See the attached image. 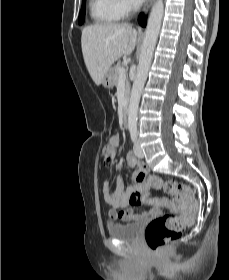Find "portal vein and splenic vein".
<instances>
[{
    "label": "portal vein and splenic vein",
    "mask_w": 229,
    "mask_h": 280,
    "mask_svg": "<svg viewBox=\"0 0 229 280\" xmlns=\"http://www.w3.org/2000/svg\"><path fill=\"white\" fill-rule=\"evenodd\" d=\"M119 72H120V80H125L126 79L125 69L122 67V68H120Z\"/></svg>",
    "instance_id": "1"
}]
</instances>
